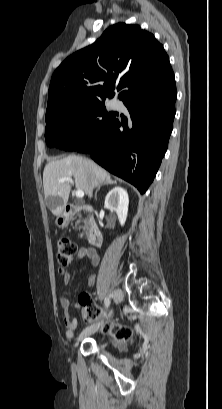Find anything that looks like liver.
I'll return each mask as SVG.
<instances>
[{"label": "liver", "instance_id": "6515ba94", "mask_svg": "<svg viewBox=\"0 0 222 409\" xmlns=\"http://www.w3.org/2000/svg\"><path fill=\"white\" fill-rule=\"evenodd\" d=\"M64 177H73L76 189L90 196L93 188L110 176L93 161L76 155L49 162L43 171V187L45 199L53 198L49 208L55 216L63 211L71 190L70 182H59Z\"/></svg>", "mask_w": 222, "mask_h": 409}]
</instances>
